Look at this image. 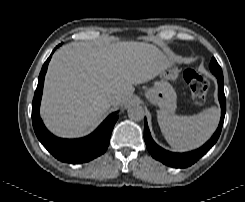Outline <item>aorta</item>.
Returning a JSON list of instances; mask_svg holds the SVG:
<instances>
[{
  "mask_svg": "<svg viewBox=\"0 0 245 202\" xmlns=\"http://www.w3.org/2000/svg\"><path fill=\"white\" fill-rule=\"evenodd\" d=\"M144 109L139 105H132L128 108V117L134 121H140L144 118Z\"/></svg>",
  "mask_w": 245,
  "mask_h": 202,
  "instance_id": "obj_1",
  "label": "aorta"
}]
</instances>
